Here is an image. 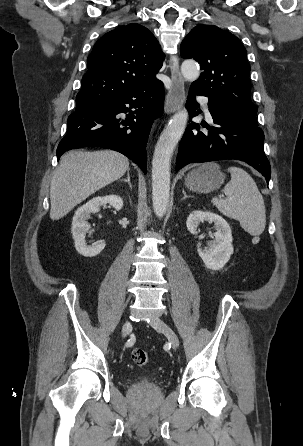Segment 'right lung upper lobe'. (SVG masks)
Instances as JSON below:
<instances>
[{
  "label": "right lung upper lobe",
  "mask_w": 303,
  "mask_h": 446,
  "mask_svg": "<svg viewBox=\"0 0 303 446\" xmlns=\"http://www.w3.org/2000/svg\"><path fill=\"white\" fill-rule=\"evenodd\" d=\"M164 55L154 35L131 23L103 35L94 45L76 98L102 102L160 82L155 75Z\"/></svg>",
  "instance_id": "1"
}]
</instances>
